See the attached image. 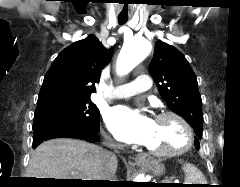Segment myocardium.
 <instances>
[{
	"label": "myocardium",
	"mask_w": 240,
	"mask_h": 187,
	"mask_svg": "<svg viewBox=\"0 0 240 187\" xmlns=\"http://www.w3.org/2000/svg\"><path fill=\"white\" fill-rule=\"evenodd\" d=\"M164 118H172L177 122L184 135L183 143L178 147L167 150H153L147 147L148 153L157 157L169 158L179 156L189 151L194 143V133L189 122L180 113L172 110H167L159 113L156 120H161Z\"/></svg>",
	"instance_id": "obj_1"
}]
</instances>
